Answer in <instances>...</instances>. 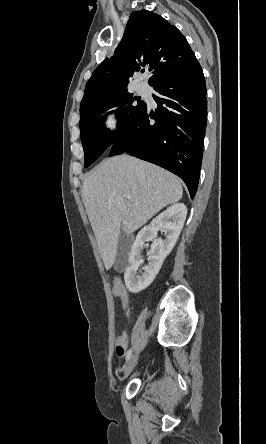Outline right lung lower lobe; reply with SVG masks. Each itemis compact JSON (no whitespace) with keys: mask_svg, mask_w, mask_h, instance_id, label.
Segmentation results:
<instances>
[{"mask_svg":"<svg viewBox=\"0 0 266 444\" xmlns=\"http://www.w3.org/2000/svg\"><path fill=\"white\" fill-rule=\"evenodd\" d=\"M155 114L141 115L112 143L109 156L124 152L178 175L193 199L198 187L207 123L206 83L197 61L188 70L152 86ZM154 119L153 123L150 119Z\"/></svg>","mask_w":266,"mask_h":444,"instance_id":"1","label":"right lung lower lobe"}]
</instances>
